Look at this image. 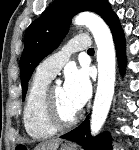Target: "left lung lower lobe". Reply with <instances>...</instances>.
I'll list each match as a JSON object with an SVG mask.
<instances>
[{"instance_id": "left-lung-lower-lobe-1", "label": "left lung lower lobe", "mask_w": 139, "mask_h": 150, "mask_svg": "<svg viewBox=\"0 0 139 150\" xmlns=\"http://www.w3.org/2000/svg\"><path fill=\"white\" fill-rule=\"evenodd\" d=\"M104 20L109 25L113 34V39L117 49L119 66L121 71H123L125 66V40L119 19L117 15L112 10H110ZM61 138L81 144L82 147L86 150H111L109 134L104 133L96 138H92L90 136V129L88 128V117L77 128L70 131L69 133L62 135Z\"/></svg>"}]
</instances>
